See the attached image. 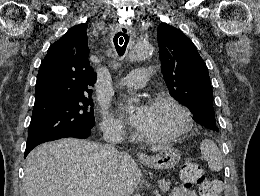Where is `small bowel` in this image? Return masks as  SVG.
<instances>
[{"label": "small bowel", "instance_id": "1", "mask_svg": "<svg viewBox=\"0 0 260 196\" xmlns=\"http://www.w3.org/2000/svg\"><path fill=\"white\" fill-rule=\"evenodd\" d=\"M171 196H197V193L195 190L184 188V186H177L173 189Z\"/></svg>", "mask_w": 260, "mask_h": 196}]
</instances>
